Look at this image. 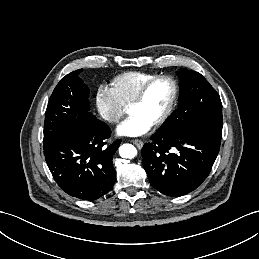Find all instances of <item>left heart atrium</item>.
<instances>
[{"instance_id":"obj_1","label":"left heart atrium","mask_w":259,"mask_h":259,"mask_svg":"<svg viewBox=\"0 0 259 259\" xmlns=\"http://www.w3.org/2000/svg\"><path fill=\"white\" fill-rule=\"evenodd\" d=\"M151 126V123L145 121L138 114L131 113V115L118 126L117 132L121 136L136 137L148 132Z\"/></svg>"}]
</instances>
